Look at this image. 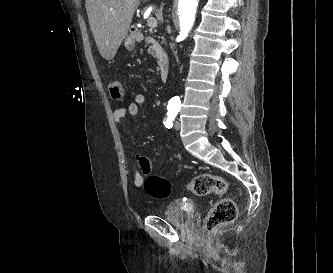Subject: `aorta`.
I'll list each match as a JSON object with an SVG mask.
<instances>
[{"instance_id":"obj_1","label":"aorta","mask_w":333,"mask_h":273,"mask_svg":"<svg viewBox=\"0 0 333 273\" xmlns=\"http://www.w3.org/2000/svg\"><path fill=\"white\" fill-rule=\"evenodd\" d=\"M199 0H179L178 14L180 21L179 37L185 39L192 29L195 21L196 10ZM172 103H179V98L174 97L171 99Z\"/></svg>"}]
</instances>
